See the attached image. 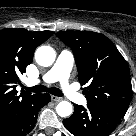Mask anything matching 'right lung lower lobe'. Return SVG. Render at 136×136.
Segmentation results:
<instances>
[{"instance_id": "right-lung-lower-lobe-1", "label": "right lung lower lobe", "mask_w": 136, "mask_h": 136, "mask_svg": "<svg viewBox=\"0 0 136 136\" xmlns=\"http://www.w3.org/2000/svg\"><path fill=\"white\" fill-rule=\"evenodd\" d=\"M51 101L49 94H35L20 111L0 121V136H26L37 121L38 111Z\"/></svg>"}]
</instances>
